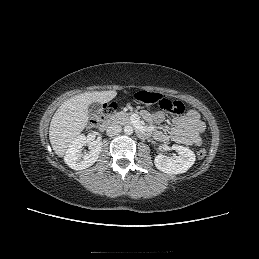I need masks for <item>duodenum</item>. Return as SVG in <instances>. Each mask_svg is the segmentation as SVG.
<instances>
[{
	"label": "duodenum",
	"instance_id": "410a0bca",
	"mask_svg": "<svg viewBox=\"0 0 259 259\" xmlns=\"http://www.w3.org/2000/svg\"><path fill=\"white\" fill-rule=\"evenodd\" d=\"M113 125H114V120L113 119H107L104 122H102V124L100 125V130L105 131V130L109 129L110 127H112ZM137 132L140 136L148 135V131L143 127H139L137 129Z\"/></svg>",
	"mask_w": 259,
	"mask_h": 259
}]
</instances>
